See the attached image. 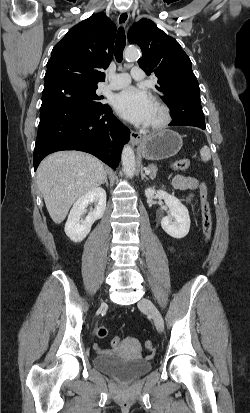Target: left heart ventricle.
Masks as SVG:
<instances>
[{
  "instance_id": "obj_1",
  "label": "left heart ventricle",
  "mask_w": 250,
  "mask_h": 413,
  "mask_svg": "<svg viewBox=\"0 0 250 413\" xmlns=\"http://www.w3.org/2000/svg\"><path fill=\"white\" fill-rule=\"evenodd\" d=\"M158 119H159V112L157 108L153 105L148 124L155 123Z\"/></svg>"
}]
</instances>
